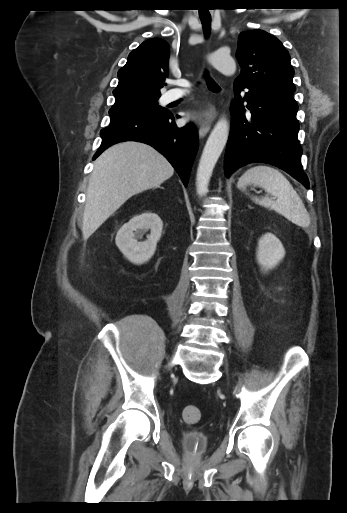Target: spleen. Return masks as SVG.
I'll return each instance as SVG.
<instances>
[{
	"label": "spleen",
	"instance_id": "spleen-1",
	"mask_svg": "<svg viewBox=\"0 0 347 513\" xmlns=\"http://www.w3.org/2000/svg\"><path fill=\"white\" fill-rule=\"evenodd\" d=\"M249 185L261 187L271 196L253 197L255 203L274 210L299 226H309L310 216L301 198L279 170L266 165L250 168L240 177L238 188L246 192Z\"/></svg>",
	"mask_w": 347,
	"mask_h": 513
}]
</instances>
